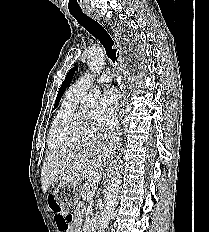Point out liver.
<instances>
[{"label": "liver", "mask_w": 209, "mask_h": 232, "mask_svg": "<svg viewBox=\"0 0 209 232\" xmlns=\"http://www.w3.org/2000/svg\"><path fill=\"white\" fill-rule=\"evenodd\" d=\"M115 140L104 143L101 139L71 145L53 152L43 163L41 185L44 193L58 180L78 184L85 179L88 184L99 183L106 159L113 156Z\"/></svg>", "instance_id": "liver-1"}]
</instances>
